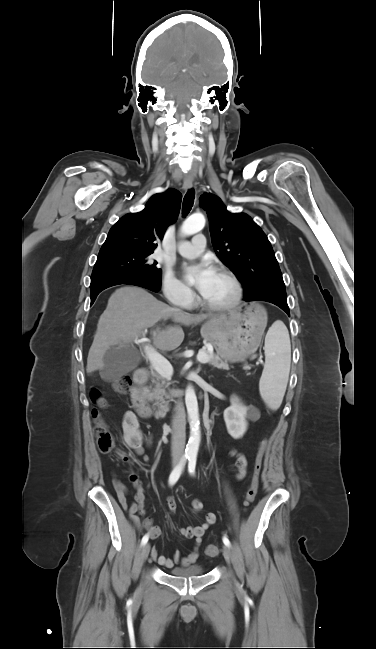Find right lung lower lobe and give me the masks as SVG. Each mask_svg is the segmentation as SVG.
Returning <instances> with one entry per match:
<instances>
[{
    "label": "right lung lower lobe",
    "instance_id": "obj_1",
    "mask_svg": "<svg viewBox=\"0 0 376 649\" xmlns=\"http://www.w3.org/2000/svg\"><path fill=\"white\" fill-rule=\"evenodd\" d=\"M119 284H129V285H135V286H140L146 289H149L153 292H158L161 287V283L155 282L153 280H150L148 278L142 277V276H131V275H124V274H109L105 275L102 277H99L97 279H91V284H90V297H91V304L94 303L97 295L104 289L114 286V285H119Z\"/></svg>",
    "mask_w": 376,
    "mask_h": 649
}]
</instances>
